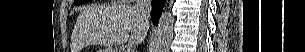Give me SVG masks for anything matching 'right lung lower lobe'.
<instances>
[{"label":"right lung lower lobe","instance_id":"1","mask_svg":"<svg viewBox=\"0 0 305 52\" xmlns=\"http://www.w3.org/2000/svg\"><path fill=\"white\" fill-rule=\"evenodd\" d=\"M165 0H153L152 1V12H151V18L154 25H158L159 18L161 16L163 6H164Z\"/></svg>","mask_w":305,"mask_h":52}]
</instances>
